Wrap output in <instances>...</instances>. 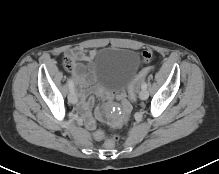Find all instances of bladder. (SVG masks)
Segmentation results:
<instances>
[{
	"label": "bladder",
	"mask_w": 219,
	"mask_h": 174,
	"mask_svg": "<svg viewBox=\"0 0 219 174\" xmlns=\"http://www.w3.org/2000/svg\"><path fill=\"white\" fill-rule=\"evenodd\" d=\"M140 65L137 51L113 47L93 58L90 65L92 76L101 88L114 91L123 88L134 76Z\"/></svg>",
	"instance_id": "1"
}]
</instances>
